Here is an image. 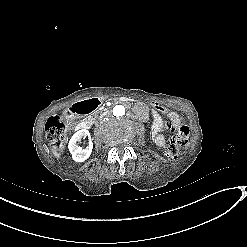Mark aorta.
<instances>
[{
	"instance_id": "obj_1",
	"label": "aorta",
	"mask_w": 247,
	"mask_h": 247,
	"mask_svg": "<svg viewBox=\"0 0 247 247\" xmlns=\"http://www.w3.org/2000/svg\"><path fill=\"white\" fill-rule=\"evenodd\" d=\"M125 114V108L122 105H116L113 108V115L116 117L123 116Z\"/></svg>"
}]
</instances>
